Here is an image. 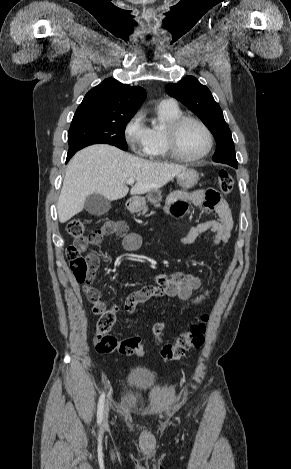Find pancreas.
Here are the masks:
<instances>
[{"label": "pancreas", "mask_w": 291, "mask_h": 469, "mask_svg": "<svg viewBox=\"0 0 291 469\" xmlns=\"http://www.w3.org/2000/svg\"><path fill=\"white\" fill-rule=\"evenodd\" d=\"M147 211H148V207L145 206V207L143 208L142 214H145Z\"/></svg>", "instance_id": "obj_1"}]
</instances>
